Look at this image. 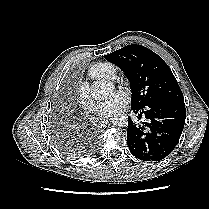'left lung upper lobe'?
Returning a JSON list of instances; mask_svg holds the SVG:
<instances>
[{
	"label": "left lung upper lobe",
	"instance_id": "obj_1",
	"mask_svg": "<svg viewBox=\"0 0 209 209\" xmlns=\"http://www.w3.org/2000/svg\"><path fill=\"white\" fill-rule=\"evenodd\" d=\"M104 58L126 75L132 91L131 107L184 100L182 91L164 60L141 45H127Z\"/></svg>",
	"mask_w": 209,
	"mask_h": 209
}]
</instances>
